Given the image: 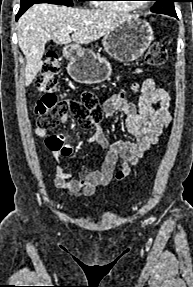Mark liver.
Listing matches in <instances>:
<instances>
[{
  "label": "liver",
  "instance_id": "6515ba94",
  "mask_svg": "<svg viewBox=\"0 0 193 287\" xmlns=\"http://www.w3.org/2000/svg\"><path fill=\"white\" fill-rule=\"evenodd\" d=\"M133 15L101 9H78L53 4H36L18 21V43L26 57L25 86L43 66L45 44H89L97 41ZM76 31L69 35L70 29Z\"/></svg>",
  "mask_w": 193,
  "mask_h": 287
}]
</instances>
